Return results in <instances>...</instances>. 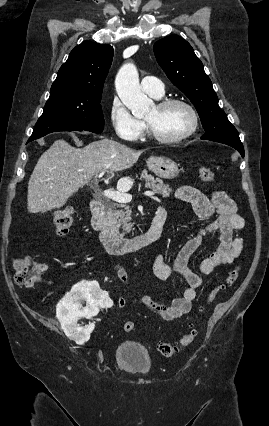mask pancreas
I'll return each mask as SVG.
<instances>
[{"mask_svg":"<svg viewBox=\"0 0 269 426\" xmlns=\"http://www.w3.org/2000/svg\"><path fill=\"white\" fill-rule=\"evenodd\" d=\"M141 178L146 181L147 188L152 189L155 193L162 194L163 197H169L172 192L168 184H164L161 179H155L154 176L148 175L147 171L142 173ZM107 208V222L115 228L122 226L124 231L129 232L132 228V224L129 223L131 220L130 207L124 203L110 202Z\"/></svg>","mask_w":269,"mask_h":426,"instance_id":"1","label":"pancreas"}]
</instances>
